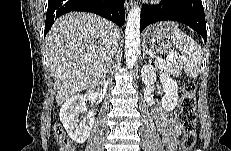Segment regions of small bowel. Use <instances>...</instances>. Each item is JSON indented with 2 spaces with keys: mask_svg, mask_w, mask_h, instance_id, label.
I'll return each instance as SVG.
<instances>
[{
  "mask_svg": "<svg viewBox=\"0 0 231 151\" xmlns=\"http://www.w3.org/2000/svg\"><path fill=\"white\" fill-rule=\"evenodd\" d=\"M153 117L158 126L162 140L166 145L167 151H175L181 133V126L172 117V114L166 112L161 106L154 109Z\"/></svg>",
  "mask_w": 231,
  "mask_h": 151,
  "instance_id": "c3829d8e",
  "label": "small bowel"
}]
</instances>
